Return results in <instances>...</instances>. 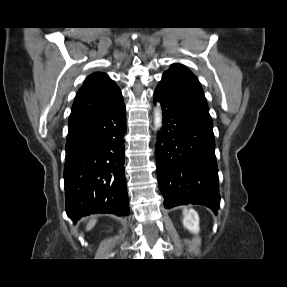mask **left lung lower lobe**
<instances>
[{
  "label": "left lung lower lobe",
  "instance_id": "obj_1",
  "mask_svg": "<svg viewBox=\"0 0 287 287\" xmlns=\"http://www.w3.org/2000/svg\"><path fill=\"white\" fill-rule=\"evenodd\" d=\"M163 126L156 145L157 177L164 207L201 204L217 213L220 206L213 125L177 103L157 86Z\"/></svg>",
  "mask_w": 287,
  "mask_h": 287
}]
</instances>
